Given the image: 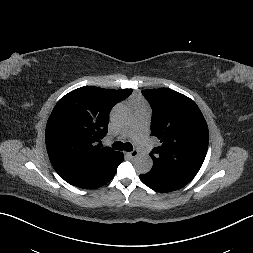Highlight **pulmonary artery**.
Here are the masks:
<instances>
[{
	"label": "pulmonary artery",
	"instance_id": "obj_1",
	"mask_svg": "<svg viewBox=\"0 0 253 253\" xmlns=\"http://www.w3.org/2000/svg\"><path fill=\"white\" fill-rule=\"evenodd\" d=\"M149 118L150 112L147 109H142L137 115L134 124L124 130L121 135V137L133 138L140 151L144 154L150 153L153 148V144L147 134Z\"/></svg>",
	"mask_w": 253,
	"mask_h": 253
}]
</instances>
